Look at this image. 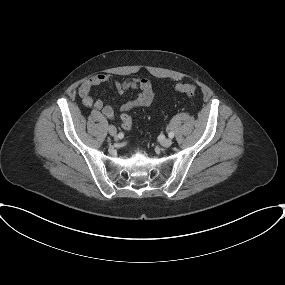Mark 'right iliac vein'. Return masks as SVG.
Segmentation results:
<instances>
[{
    "mask_svg": "<svg viewBox=\"0 0 285 285\" xmlns=\"http://www.w3.org/2000/svg\"><path fill=\"white\" fill-rule=\"evenodd\" d=\"M108 132H109V134L111 135V136H116V134H117V130H116V128L113 126V125H110L109 127H108Z\"/></svg>",
    "mask_w": 285,
    "mask_h": 285,
    "instance_id": "obj_1",
    "label": "right iliac vein"
}]
</instances>
